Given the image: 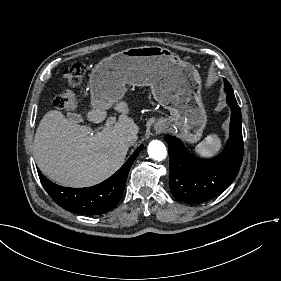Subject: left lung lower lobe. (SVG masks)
I'll list each match as a JSON object with an SVG mask.
<instances>
[{"instance_id": "0a47b994", "label": "left lung lower lobe", "mask_w": 281, "mask_h": 281, "mask_svg": "<svg viewBox=\"0 0 281 281\" xmlns=\"http://www.w3.org/2000/svg\"><path fill=\"white\" fill-rule=\"evenodd\" d=\"M231 108L230 137L223 152L212 159L190 154L181 141L164 137L170 160V190L186 203H203L223 192L236 178L243 158L241 111L233 93H227Z\"/></svg>"}]
</instances>
